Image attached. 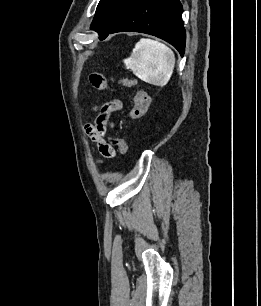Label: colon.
<instances>
[{
    "mask_svg": "<svg viewBox=\"0 0 261 306\" xmlns=\"http://www.w3.org/2000/svg\"><path fill=\"white\" fill-rule=\"evenodd\" d=\"M112 79L107 78L101 73L93 72L89 75L90 85L97 91H104L109 87ZM120 83L125 87H135L136 81L133 79H124ZM150 106V95L142 89H137L134 95V106L128 113L130 119H138L142 117ZM109 144L116 147L121 154L129 152V146L122 138L113 136L110 138Z\"/></svg>",
    "mask_w": 261,
    "mask_h": 306,
    "instance_id": "1",
    "label": "colon"
}]
</instances>
